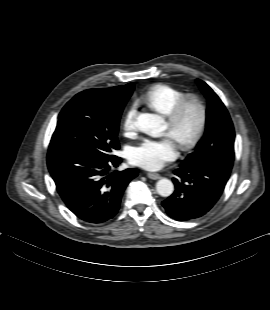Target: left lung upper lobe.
Returning a JSON list of instances; mask_svg holds the SVG:
<instances>
[{
  "instance_id": "1",
  "label": "left lung upper lobe",
  "mask_w": 270,
  "mask_h": 310,
  "mask_svg": "<svg viewBox=\"0 0 270 310\" xmlns=\"http://www.w3.org/2000/svg\"><path fill=\"white\" fill-rule=\"evenodd\" d=\"M197 83L208 99L206 131L196 151L182 165H203L230 173L234 161L235 138L232 121L215 92L202 80H197Z\"/></svg>"
}]
</instances>
